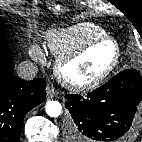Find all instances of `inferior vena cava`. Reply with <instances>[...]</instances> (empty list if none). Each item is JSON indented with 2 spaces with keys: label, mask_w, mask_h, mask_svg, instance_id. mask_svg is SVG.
Segmentation results:
<instances>
[{
  "label": "inferior vena cava",
  "mask_w": 142,
  "mask_h": 142,
  "mask_svg": "<svg viewBox=\"0 0 142 142\" xmlns=\"http://www.w3.org/2000/svg\"><path fill=\"white\" fill-rule=\"evenodd\" d=\"M37 72V66L31 61H23L17 67V75L23 80L34 79Z\"/></svg>",
  "instance_id": "obj_1"
}]
</instances>
